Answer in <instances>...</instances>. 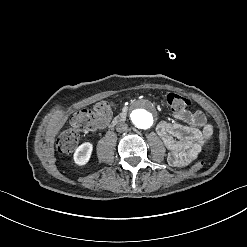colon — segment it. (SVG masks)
Masks as SVG:
<instances>
[{
    "label": "colon",
    "mask_w": 247,
    "mask_h": 247,
    "mask_svg": "<svg viewBox=\"0 0 247 247\" xmlns=\"http://www.w3.org/2000/svg\"><path fill=\"white\" fill-rule=\"evenodd\" d=\"M166 99L175 110L180 111L189 107L190 102L188 99L175 95L173 92L166 94ZM110 104L107 101H100L94 107L87 110H80L73 114L71 122L74 127L67 129L57 137L56 149L59 153L69 154L76 147L79 140V130L83 128H92L98 124L107 121L108 112H110ZM198 112V111H196ZM203 161H196L191 166L193 171H199L203 168Z\"/></svg>",
    "instance_id": "1"
}]
</instances>
